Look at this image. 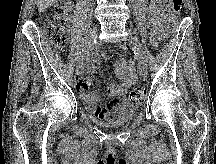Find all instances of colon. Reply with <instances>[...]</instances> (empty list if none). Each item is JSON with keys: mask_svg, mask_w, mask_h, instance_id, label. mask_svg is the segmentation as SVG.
<instances>
[{"mask_svg": "<svg viewBox=\"0 0 216 164\" xmlns=\"http://www.w3.org/2000/svg\"><path fill=\"white\" fill-rule=\"evenodd\" d=\"M73 0H59L55 7V13L52 20L46 27V35L51 43L62 48L66 43V34L71 23V12L73 10ZM182 10V0H171V9L168 13V21L175 28L178 24ZM146 89L142 86L135 87L121 100L129 105L141 104L146 98Z\"/></svg>", "mask_w": 216, "mask_h": 164, "instance_id": "1", "label": "colon"}]
</instances>
